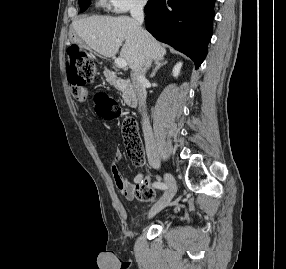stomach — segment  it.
Listing matches in <instances>:
<instances>
[{
	"label": "stomach",
	"mask_w": 286,
	"mask_h": 269,
	"mask_svg": "<svg viewBox=\"0 0 286 269\" xmlns=\"http://www.w3.org/2000/svg\"><path fill=\"white\" fill-rule=\"evenodd\" d=\"M70 41L72 43H77L79 45H83V40L79 36H77V35H71L70 36Z\"/></svg>",
	"instance_id": "stomach-1"
}]
</instances>
